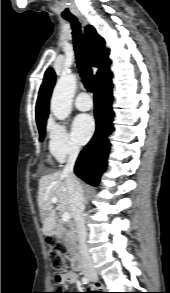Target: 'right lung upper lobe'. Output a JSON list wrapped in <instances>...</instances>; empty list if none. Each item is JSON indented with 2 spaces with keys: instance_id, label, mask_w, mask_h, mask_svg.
<instances>
[{
  "instance_id": "right-lung-upper-lobe-1",
  "label": "right lung upper lobe",
  "mask_w": 170,
  "mask_h": 293,
  "mask_svg": "<svg viewBox=\"0 0 170 293\" xmlns=\"http://www.w3.org/2000/svg\"><path fill=\"white\" fill-rule=\"evenodd\" d=\"M85 42L87 54L91 64L98 67L99 70L95 76L96 84L108 75H112L109 66L110 59L108 58L109 50L105 48L104 39L100 37L95 29L88 25L85 29ZM55 84V73L52 68L47 69L44 75L43 83L40 87L38 100L36 104V121L38 128L45 127L48 116L49 99L52 88Z\"/></svg>"
}]
</instances>
